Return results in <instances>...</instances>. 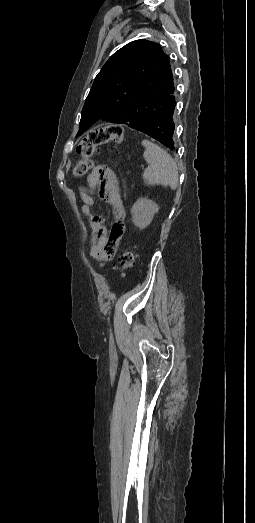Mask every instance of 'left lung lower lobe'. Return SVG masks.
I'll return each instance as SVG.
<instances>
[{"mask_svg":"<svg viewBox=\"0 0 255 523\" xmlns=\"http://www.w3.org/2000/svg\"><path fill=\"white\" fill-rule=\"evenodd\" d=\"M179 107L177 102H174L172 105L166 107V114L156 115L159 117V120L151 121V123L142 125L141 127H136V130H142L144 132V137H154V140H159L158 144L163 146L167 145L169 150L175 148L174 137L176 136V128L172 123V117L175 114V109ZM156 118V117H155ZM166 140V141H164Z\"/></svg>","mask_w":255,"mask_h":523,"instance_id":"obj_1","label":"left lung lower lobe"}]
</instances>
